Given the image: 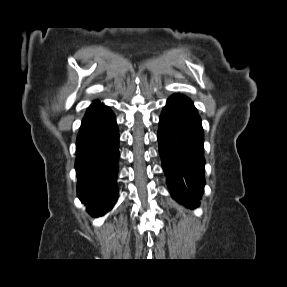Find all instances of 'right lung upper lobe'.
Segmentation results:
<instances>
[{
	"label": "right lung upper lobe",
	"mask_w": 287,
	"mask_h": 287,
	"mask_svg": "<svg viewBox=\"0 0 287 287\" xmlns=\"http://www.w3.org/2000/svg\"><path fill=\"white\" fill-rule=\"evenodd\" d=\"M99 103V101H95V102H93V104L91 105V106H93V105H96V104H98ZM90 106V107H91Z\"/></svg>",
	"instance_id": "obj_1"
}]
</instances>
